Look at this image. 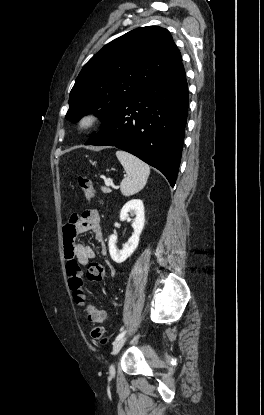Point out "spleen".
Listing matches in <instances>:
<instances>
[{"label": "spleen", "instance_id": "3e777b00", "mask_svg": "<svg viewBox=\"0 0 264 415\" xmlns=\"http://www.w3.org/2000/svg\"><path fill=\"white\" fill-rule=\"evenodd\" d=\"M116 156L127 173L120 185L122 194L124 196H131L142 190L147 183L150 167L134 155L125 151L118 150Z\"/></svg>", "mask_w": 264, "mask_h": 415}]
</instances>
